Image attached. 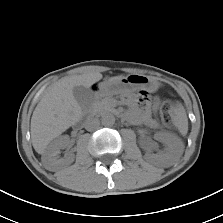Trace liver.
<instances>
[{"instance_id": "obj_1", "label": "liver", "mask_w": 223, "mask_h": 223, "mask_svg": "<svg viewBox=\"0 0 223 223\" xmlns=\"http://www.w3.org/2000/svg\"><path fill=\"white\" fill-rule=\"evenodd\" d=\"M124 76L111 77L114 81ZM102 79L99 72L64 77L49 88L31 118V139L35 151L44 154L48 144L77 123L82 109L73 95L75 86L91 87Z\"/></svg>"}]
</instances>
